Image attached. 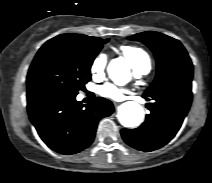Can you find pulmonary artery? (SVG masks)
<instances>
[{
  "label": "pulmonary artery",
  "instance_id": "e3ab8cb5",
  "mask_svg": "<svg viewBox=\"0 0 212 183\" xmlns=\"http://www.w3.org/2000/svg\"><path fill=\"white\" fill-rule=\"evenodd\" d=\"M149 72V69H139V70H135V75L136 76H142L145 75Z\"/></svg>",
  "mask_w": 212,
  "mask_h": 183
}]
</instances>
